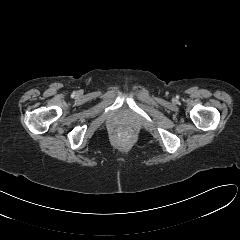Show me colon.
Wrapping results in <instances>:
<instances>
[{
    "label": "colon",
    "mask_w": 240,
    "mask_h": 240,
    "mask_svg": "<svg viewBox=\"0 0 240 240\" xmlns=\"http://www.w3.org/2000/svg\"><path fill=\"white\" fill-rule=\"evenodd\" d=\"M121 133L124 135V136H129L131 134V130L129 128H123Z\"/></svg>",
    "instance_id": "obj_1"
}]
</instances>
